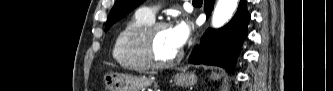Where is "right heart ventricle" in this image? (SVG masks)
Instances as JSON below:
<instances>
[{
    "label": "right heart ventricle",
    "instance_id": "obj_1",
    "mask_svg": "<svg viewBox=\"0 0 333 91\" xmlns=\"http://www.w3.org/2000/svg\"><path fill=\"white\" fill-rule=\"evenodd\" d=\"M152 21L136 12L117 32L113 43L112 56L122 68L133 71H143L148 68L136 52L134 38L141 28L152 23Z\"/></svg>",
    "mask_w": 333,
    "mask_h": 91
}]
</instances>
